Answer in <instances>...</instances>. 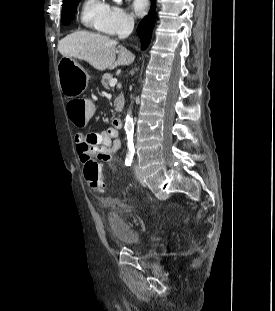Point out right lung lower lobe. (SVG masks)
Returning <instances> with one entry per match:
<instances>
[{
	"instance_id": "obj_1",
	"label": "right lung lower lobe",
	"mask_w": 275,
	"mask_h": 311,
	"mask_svg": "<svg viewBox=\"0 0 275 311\" xmlns=\"http://www.w3.org/2000/svg\"><path fill=\"white\" fill-rule=\"evenodd\" d=\"M151 2L152 4L148 15L139 23L137 28V33L141 38L143 50H145L146 47L149 45L155 23L156 0H151Z\"/></svg>"
}]
</instances>
